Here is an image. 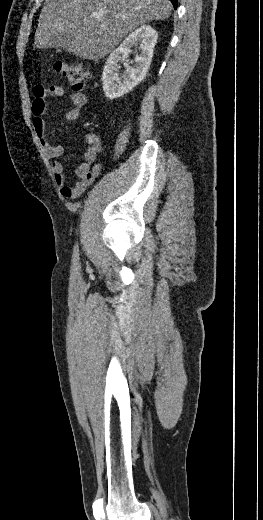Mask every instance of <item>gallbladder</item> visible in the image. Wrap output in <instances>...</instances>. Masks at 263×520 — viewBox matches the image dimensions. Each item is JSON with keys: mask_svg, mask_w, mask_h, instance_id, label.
Instances as JSON below:
<instances>
[{"mask_svg": "<svg viewBox=\"0 0 263 520\" xmlns=\"http://www.w3.org/2000/svg\"><path fill=\"white\" fill-rule=\"evenodd\" d=\"M54 47L63 48L64 44L67 42L66 34H57L53 37Z\"/></svg>", "mask_w": 263, "mask_h": 520, "instance_id": "1", "label": "gallbladder"}]
</instances>
